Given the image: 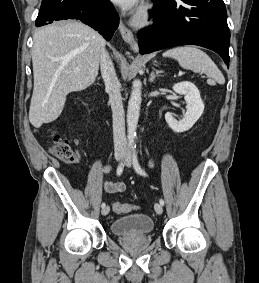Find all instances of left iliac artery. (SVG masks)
Returning <instances> with one entry per match:
<instances>
[{
    "mask_svg": "<svg viewBox=\"0 0 259 283\" xmlns=\"http://www.w3.org/2000/svg\"><path fill=\"white\" fill-rule=\"evenodd\" d=\"M133 154H132V158H133V166L135 171L142 175V176H147L146 172L140 167L139 163H138V159H137V153H136V147L132 148ZM159 203L163 206L164 205V200L160 199Z\"/></svg>",
    "mask_w": 259,
    "mask_h": 283,
    "instance_id": "obj_1",
    "label": "left iliac artery"
}]
</instances>
